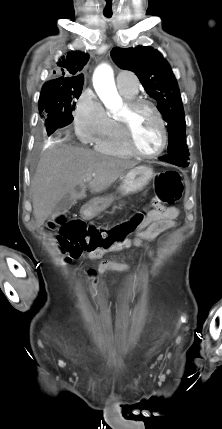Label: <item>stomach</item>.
Instances as JSON below:
<instances>
[{"label": "stomach", "mask_w": 222, "mask_h": 429, "mask_svg": "<svg viewBox=\"0 0 222 429\" xmlns=\"http://www.w3.org/2000/svg\"><path fill=\"white\" fill-rule=\"evenodd\" d=\"M154 177L153 169L148 166H137L129 170L122 178L119 192L122 195L135 194L142 191ZM113 197H99L90 201L83 214L92 218L110 206Z\"/></svg>", "instance_id": "0dacf381"}]
</instances>
